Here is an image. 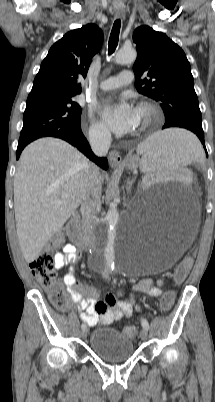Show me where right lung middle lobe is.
I'll return each instance as SVG.
<instances>
[{"instance_id":"1","label":"right lung middle lobe","mask_w":215,"mask_h":402,"mask_svg":"<svg viewBox=\"0 0 215 402\" xmlns=\"http://www.w3.org/2000/svg\"><path fill=\"white\" fill-rule=\"evenodd\" d=\"M74 96L57 93L28 96L18 145H26L48 134L80 128L81 108L73 100Z\"/></svg>"}]
</instances>
